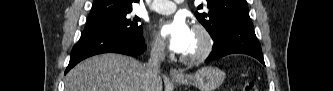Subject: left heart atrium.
<instances>
[{
	"label": "left heart atrium",
	"mask_w": 333,
	"mask_h": 91,
	"mask_svg": "<svg viewBox=\"0 0 333 91\" xmlns=\"http://www.w3.org/2000/svg\"><path fill=\"white\" fill-rule=\"evenodd\" d=\"M192 29L182 15L162 22L159 26V36L167 43L170 50L184 53L189 45Z\"/></svg>",
	"instance_id": "obj_1"
}]
</instances>
